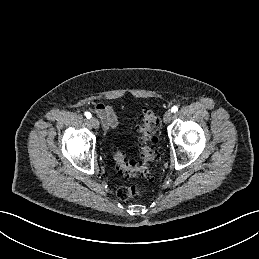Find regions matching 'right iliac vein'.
<instances>
[{
  "mask_svg": "<svg viewBox=\"0 0 259 259\" xmlns=\"http://www.w3.org/2000/svg\"><path fill=\"white\" fill-rule=\"evenodd\" d=\"M90 122L94 129H99L100 124H99V121L95 117H92L90 119Z\"/></svg>",
  "mask_w": 259,
  "mask_h": 259,
  "instance_id": "right-iliac-vein-1",
  "label": "right iliac vein"
}]
</instances>
